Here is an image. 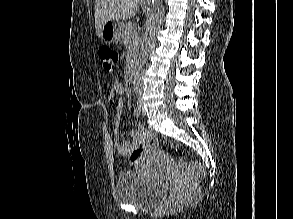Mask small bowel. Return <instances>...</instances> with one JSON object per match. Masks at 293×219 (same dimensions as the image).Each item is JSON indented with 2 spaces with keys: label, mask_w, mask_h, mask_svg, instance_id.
I'll list each match as a JSON object with an SVG mask.
<instances>
[{
  "label": "small bowel",
  "mask_w": 293,
  "mask_h": 219,
  "mask_svg": "<svg viewBox=\"0 0 293 219\" xmlns=\"http://www.w3.org/2000/svg\"><path fill=\"white\" fill-rule=\"evenodd\" d=\"M124 93V88L119 83L113 84L108 92V99L111 105L114 107V114H113V122L115 126V134H114V145L115 149L118 154L122 157H128L131 151L140 145L143 144L145 141L146 136V128L139 124L137 130H131L130 135L132 137L131 141L122 142L118 129L122 121V100H117V97Z\"/></svg>",
  "instance_id": "small-bowel-1"
}]
</instances>
